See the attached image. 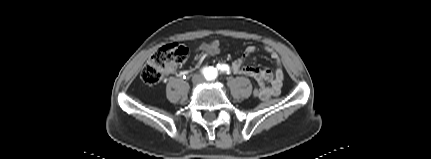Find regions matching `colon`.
<instances>
[{"label":"colon","instance_id":"obj_1","mask_svg":"<svg viewBox=\"0 0 431 159\" xmlns=\"http://www.w3.org/2000/svg\"><path fill=\"white\" fill-rule=\"evenodd\" d=\"M223 54L222 49L209 48L206 49V56L220 57ZM189 55V50L186 46L180 44H169L155 51L146 65L143 67L140 77L147 85L157 84L171 68L180 65L186 61ZM261 93L259 88H253L251 95L258 96Z\"/></svg>","mask_w":431,"mask_h":159}]
</instances>
